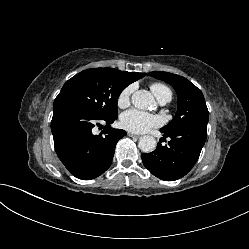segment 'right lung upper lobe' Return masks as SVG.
<instances>
[{"instance_id":"obj_1","label":"right lung upper lobe","mask_w":249,"mask_h":249,"mask_svg":"<svg viewBox=\"0 0 249 249\" xmlns=\"http://www.w3.org/2000/svg\"><path fill=\"white\" fill-rule=\"evenodd\" d=\"M115 70V69H114ZM118 76L127 84H131L132 82L144 77L146 73H137V72H126L115 70Z\"/></svg>"}]
</instances>
